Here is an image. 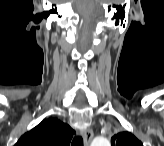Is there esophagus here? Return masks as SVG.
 <instances>
[{
    "label": "esophagus",
    "instance_id": "obj_1",
    "mask_svg": "<svg viewBox=\"0 0 164 146\" xmlns=\"http://www.w3.org/2000/svg\"><path fill=\"white\" fill-rule=\"evenodd\" d=\"M82 135H83V139H84V145L89 146V144L92 141L93 136H94L93 130L90 128H87L83 131Z\"/></svg>",
    "mask_w": 164,
    "mask_h": 146
}]
</instances>
